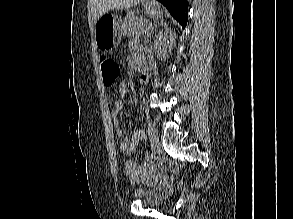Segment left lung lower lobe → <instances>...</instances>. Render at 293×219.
I'll return each instance as SVG.
<instances>
[{"label": "left lung lower lobe", "mask_w": 293, "mask_h": 219, "mask_svg": "<svg viewBox=\"0 0 293 219\" xmlns=\"http://www.w3.org/2000/svg\"><path fill=\"white\" fill-rule=\"evenodd\" d=\"M170 12V14L182 25L186 27L188 20L187 0H158Z\"/></svg>", "instance_id": "1"}]
</instances>
